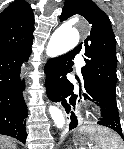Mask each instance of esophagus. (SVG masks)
Returning a JSON list of instances; mask_svg holds the SVG:
<instances>
[{
    "label": "esophagus",
    "instance_id": "1",
    "mask_svg": "<svg viewBox=\"0 0 124 149\" xmlns=\"http://www.w3.org/2000/svg\"><path fill=\"white\" fill-rule=\"evenodd\" d=\"M71 111H69L68 113H66L67 117H70ZM80 121L78 122V125H80Z\"/></svg>",
    "mask_w": 124,
    "mask_h": 149
}]
</instances>
